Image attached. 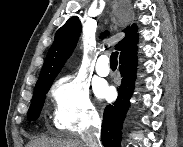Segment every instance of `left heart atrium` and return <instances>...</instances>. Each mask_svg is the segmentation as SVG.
Wrapping results in <instances>:
<instances>
[{
    "label": "left heart atrium",
    "mask_w": 183,
    "mask_h": 147,
    "mask_svg": "<svg viewBox=\"0 0 183 147\" xmlns=\"http://www.w3.org/2000/svg\"><path fill=\"white\" fill-rule=\"evenodd\" d=\"M95 92L99 98H106L110 95L111 89L106 83L101 82L96 85Z\"/></svg>",
    "instance_id": "1"
}]
</instances>
